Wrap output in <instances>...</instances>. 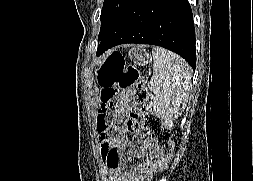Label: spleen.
I'll list each match as a JSON object with an SVG mask.
<instances>
[{
  "instance_id": "spleen-1",
  "label": "spleen",
  "mask_w": 253,
  "mask_h": 181,
  "mask_svg": "<svg viewBox=\"0 0 253 181\" xmlns=\"http://www.w3.org/2000/svg\"><path fill=\"white\" fill-rule=\"evenodd\" d=\"M153 76L149 82L152 101L150 110L156 116L173 120L179 117L191 89L190 67L180 56L154 47Z\"/></svg>"
}]
</instances>
